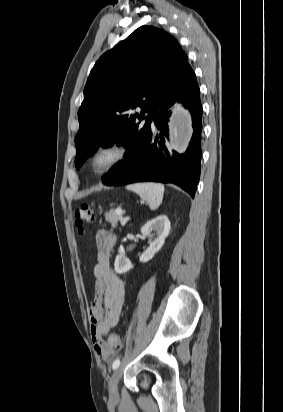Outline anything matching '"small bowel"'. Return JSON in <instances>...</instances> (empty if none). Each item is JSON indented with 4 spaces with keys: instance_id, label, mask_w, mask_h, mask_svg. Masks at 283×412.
Listing matches in <instances>:
<instances>
[{
    "instance_id": "obj_1",
    "label": "small bowel",
    "mask_w": 283,
    "mask_h": 412,
    "mask_svg": "<svg viewBox=\"0 0 283 412\" xmlns=\"http://www.w3.org/2000/svg\"><path fill=\"white\" fill-rule=\"evenodd\" d=\"M115 243L116 237L111 232L99 230L96 233L97 261L93 268L94 296L88 314L95 349L105 359L109 358L110 350H102L103 339L118 324L125 300V284L110 265Z\"/></svg>"
}]
</instances>
